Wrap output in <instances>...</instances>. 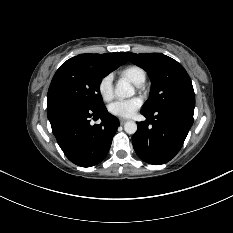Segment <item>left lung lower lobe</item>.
Returning a JSON list of instances; mask_svg holds the SVG:
<instances>
[{"label": "left lung lower lobe", "mask_w": 233, "mask_h": 233, "mask_svg": "<svg viewBox=\"0 0 233 233\" xmlns=\"http://www.w3.org/2000/svg\"><path fill=\"white\" fill-rule=\"evenodd\" d=\"M148 120L137 123L132 143L138 157L160 165L170 161L181 149L193 124V113L182 109L141 112Z\"/></svg>", "instance_id": "1"}]
</instances>
